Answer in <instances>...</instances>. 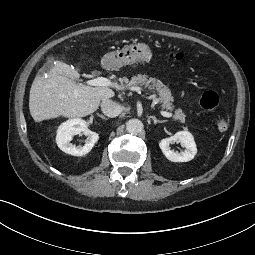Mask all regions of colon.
Returning a JSON list of instances; mask_svg holds the SVG:
<instances>
[{
  "instance_id": "obj_1",
  "label": "colon",
  "mask_w": 255,
  "mask_h": 255,
  "mask_svg": "<svg viewBox=\"0 0 255 255\" xmlns=\"http://www.w3.org/2000/svg\"><path fill=\"white\" fill-rule=\"evenodd\" d=\"M169 57L175 60H182L184 58V55L182 53H176V54H170ZM200 103L203 109L207 111H215L219 107L220 99L216 92L208 90L202 94ZM228 127H229V122L227 118L225 117L219 118L217 123L218 130L220 132H225L227 131Z\"/></svg>"
}]
</instances>
